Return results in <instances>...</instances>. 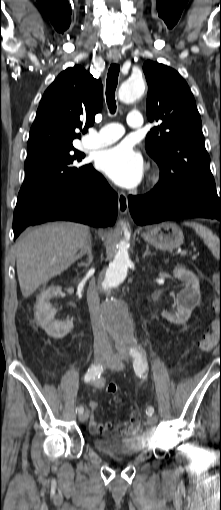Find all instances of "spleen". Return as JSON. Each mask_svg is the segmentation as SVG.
Segmentation results:
<instances>
[{"instance_id":"1","label":"spleen","mask_w":221,"mask_h":510,"mask_svg":"<svg viewBox=\"0 0 221 510\" xmlns=\"http://www.w3.org/2000/svg\"><path fill=\"white\" fill-rule=\"evenodd\" d=\"M185 225L192 227L195 232L203 239L204 243L208 246L214 256H218L219 252V238L213 232L196 222H184Z\"/></svg>"}]
</instances>
